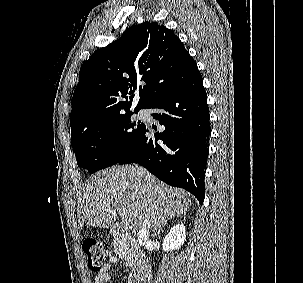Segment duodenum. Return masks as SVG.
Returning <instances> with one entry per match:
<instances>
[{
    "label": "duodenum",
    "mask_w": 303,
    "mask_h": 283,
    "mask_svg": "<svg viewBox=\"0 0 303 283\" xmlns=\"http://www.w3.org/2000/svg\"><path fill=\"white\" fill-rule=\"evenodd\" d=\"M111 235L116 239H120L124 235V230L119 224L111 227ZM137 269L135 283H150L152 276V268L149 259L143 254L137 253Z\"/></svg>",
    "instance_id": "1"
}]
</instances>
